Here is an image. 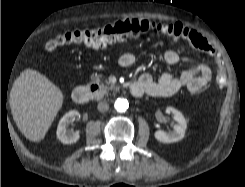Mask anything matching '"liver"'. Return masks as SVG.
I'll return each instance as SVG.
<instances>
[{
	"label": "liver",
	"mask_w": 245,
	"mask_h": 187,
	"mask_svg": "<svg viewBox=\"0 0 245 187\" xmlns=\"http://www.w3.org/2000/svg\"><path fill=\"white\" fill-rule=\"evenodd\" d=\"M62 91L47 77L31 69L23 71L13 83L10 107L21 133L40 142L62 107Z\"/></svg>",
	"instance_id": "obj_1"
}]
</instances>
